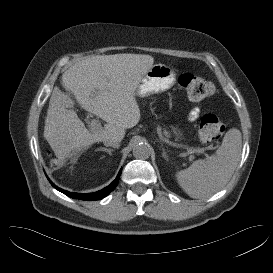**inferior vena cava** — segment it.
Here are the masks:
<instances>
[{"instance_id":"obj_1","label":"inferior vena cava","mask_w":273,"mask_h":273,"mask_svg":"<svg viewBox=\"0 0 273 273\" xmlns=\"http://www.w3.org/2000/svg\"><path fill=\"white\" fill-rule=\"evenodd\" d=\"M103 143L105 146H111L114 148H117L120 146V141L114 139V138H106L103 140Z\"/></svg>"}]
</instances>
